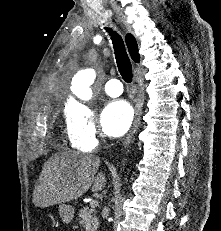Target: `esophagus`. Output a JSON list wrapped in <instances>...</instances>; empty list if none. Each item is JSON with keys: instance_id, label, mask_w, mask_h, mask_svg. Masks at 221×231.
Masks as SVG:
<instances>
[{"instance_id": "1", "label": "esophagus", "mask_w": 221, "mask_h": 231, "mask_svg": "<svg viewBox=\"0 0 221 231\" xmlns=\"http://www.w3.org/2000/svg\"><path fill=\"white\" fill-rule=\"evenodd\" d=\"M142 105H143V99L141 98V95L138 93L134 123H133V126H132L129 134L127 135V137L125 138V140L123 142L124 147H127L129 145V143L133 137V134L135 133V131L137 129L138 123H139L140 118H141Z\"/></svg>"}]
</instances>
